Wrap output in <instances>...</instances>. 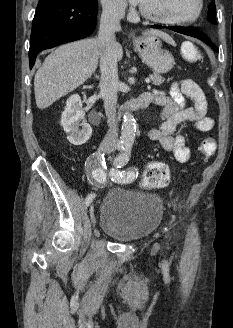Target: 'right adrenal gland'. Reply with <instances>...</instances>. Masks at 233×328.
I'll return each instance as SVG.
<instances>
[{
	"instance_id": "1",
	"label": "right adrenal gland",
	"mask_w": 233,
	"mask_h": 328,
	"mask_svg": "<svg viewBox=\"0 0 233 328\" xmlns=\"http://www.w3.org/2000/svg\"><path fill=\"white\" fill-rule=\"evenodd\" d=\"M94 76H95L96 79H99V75L95 74Z\"/></svg>"
}]
</instances>
